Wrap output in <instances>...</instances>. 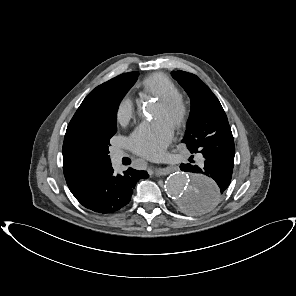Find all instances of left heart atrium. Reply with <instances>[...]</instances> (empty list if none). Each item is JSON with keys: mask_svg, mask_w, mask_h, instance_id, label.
<instances>
[{"mask_svg": "<svg viewBox=\"0 0 296 296\" xmlns=\"http://www.w3.org/2000/svg\"><path fill=\"white\" fill-rule=\"evenodd\" d=\"M173 126L162 118L140 124L129 137L130 148L138 155L155 158L170 143Z\"/></svg>", "mask_w": 296, "mask_h": 296, "instance_id": "39dd6f15", "label": "left heart atrium"}]
</instances>
